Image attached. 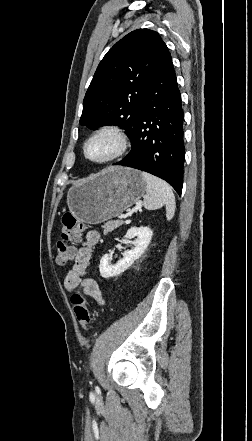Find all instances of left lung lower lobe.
Listing matches in <instances>:
<instances>
[{
	"instance_id": "left-lung-lower-lobe-1",
	"label": "left lung lower lobe",
	"mask_w": 252,
	"mask_h": 441,
	"mask_svg": "<svg viewBox=\"0 0 252 441\" xmlns=\"http://www.w3.org/2000/svg\"><path fill=\"white\" fill-rule=\"evenodd\" d=\"M184 113L172 58L163 45L135 133L130 153L115 165L151 173L181 195L183 185Z\"/></svg>"
}]
</instances>
